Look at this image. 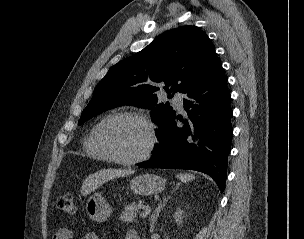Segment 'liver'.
I'll return each mask as SVG.
<instances>
[{"instance_id": "obj_1", "label": "liver", "mask_w": 304, "mask_h": 239, "mask_svg": "<svg viewBox=\"0 0 304 239\" xmlns=\"http://www.w3.org/2000/svg\"><path fill=\"white\" fill-rule=\"evenodd\" d=\"M132 170L125 169H103L94 174L89 175L82 184L81 194L87 196L98 187L102 186L105 182L111 179L124 177L133 174Z\"/></svg>"}]
</instances>
